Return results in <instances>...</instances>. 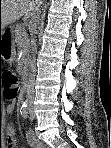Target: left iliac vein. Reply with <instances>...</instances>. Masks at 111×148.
I'll return each mask as SVG.
<instances>
[{
	"instance_id": "4c4485c4",
	"label": "left iliac vein",
	"mask_w": 111,
	"mask_h": 148,
	"mask_svg": "<svg viewBox=\"0 0 111 148\" xmlns=\"http://www.w3.org/2000/svg\"><path fill=\"white\" fill-rule=\"evenodd\" d=\"M29 113H30V116H29L30 120L31 121L34 120L35 114H34L32 106H30V108H29Z\"/></svg>"
}]
</instances>
